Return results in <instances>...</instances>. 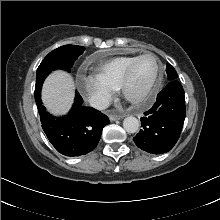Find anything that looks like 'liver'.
Returning a JSON list of instances; mask_svg holds the SVG:
<instances>
[{
    "label": "liver",
    "mask_w": 220,
    "mask_h": 220,
    "mask_svg": "<svg viewBox=\"0 0 220 220\" xmlns=\"http://www.w3.org/2000/svg\"><path fill=\"white\" fill-rule=\"evenodd\" d=\"M74 99V81L68 73L57 70L45 80L42 100L46 108L55 115L68 112Z\"/></svg>",
    "instance_id": "liver-1"
}]
</instances>
